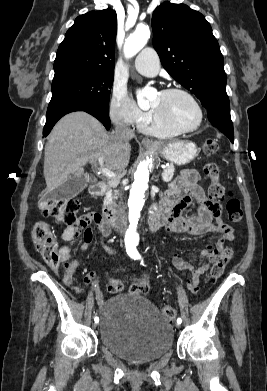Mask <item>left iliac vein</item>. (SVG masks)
<instances>
[{"mask_svg": "<svg viewBox=\"0 0 267 391\" xmlns=\"http://www.w3.org/2000/svg\"><path fill=\"white\" fill-rule=\"evenodd\" d=\"M176 327H177V328H180V324H179V323H176Z\"/></svg>", "mask_w": 267, "mask_h": 391, "instance_id": "1", "label": "left iliac vein"}]
</instances>
